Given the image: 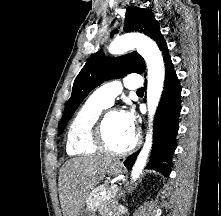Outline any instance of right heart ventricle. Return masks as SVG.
Wrapping results in <instances>:
<instances>
[{"label":"right heart ventricle","instance_id":"right-heart-ventricle-1","mask_svg":"<svg viewBox=\"0 0 221 216\" xmlns=\"http://www.w3.org/2000/svg\"><path fill=\"white\" fill-rule=\"evenodd\" d=\"M108 106L89 98L74 116L66 137V150L72 156H86L98 152L94 141L96 124Z\"/></svg>","mask_w":221,"mask_h":216}]
</instances>
